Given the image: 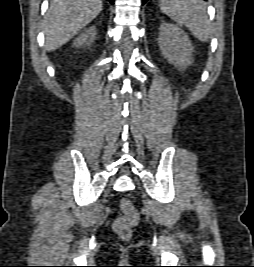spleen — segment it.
<instances>
[{"label": "spleen", "mask_w": 254, "mask_h": 267, "mask_svg": "<svg viewBox=\"0 0 254 267\" xmlns=\"http://www.w3.org/2000/svg\"><path fill=\"white\" fill-rule=\"evenodd\" d=\"M161 11L180 25H185L202 42L212 36V27L203 0H160Z\"/></svg>", "instance_id": "spleen-1"}]
</instances>
